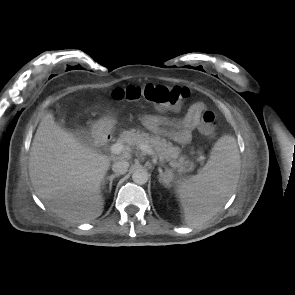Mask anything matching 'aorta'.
Returning a JSON list of instances; mask_svg holds the SVG:
<instances>
[{
  "label": "aorta",
  "instance_id": "762f6f07",
  "mask_svg": "<svg viewBox=\"0 0 295 295\" xmlns=\"http://www.w3.org/2000/svg\"><path fill=\"white\" fill-rule=\"evenodd\" d=\"M149 175L147 170L139 168L132 174V179L136 184L143 185L148 181Z\"/></svg>",
  "mask_w": 295,
  "mask_h": 295
}]
</instances>
